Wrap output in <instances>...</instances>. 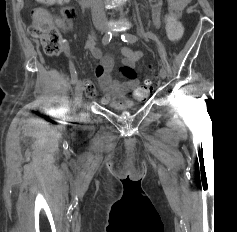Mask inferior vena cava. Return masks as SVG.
Masks as SVG:
<instances>
[{
	"label": "inferior vena cava",
	"mask_w": 237,
	"mask_h": 232,
	"mask_svg": "<svg viewBox=\"0 0 237 232\" xmlns=\"http://www.w3.org/2000/svg\"><path fill=\"white\" fill-rule=\"evenodd\" d=\"M92 19L96 21L106 20V13L103 6V0H90Z\"/></svg>",
	"instance_id": "1"
}]
</instances>
